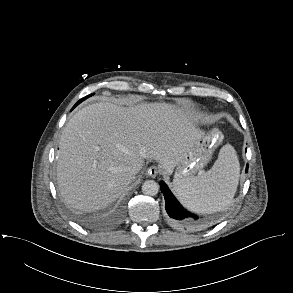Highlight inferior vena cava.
I'll list each match as a JSON object with an SVG mask.
<instances>
[{"label":"inferior vena cava","mask_w":293,"mask_h":293,"mask_svg":"<svg viewBox=\"0 0 293 293\" xmlns=\"http://www.w3.org/2000/svg\"><path fill=\"white\" fill-rule=\"evenodd\" d=\"M142 169V164L141 163H134L131 168L130 171L131 173H133L134 175L137 174L140 170Z\"/></svg>","instance_id":"inferior-vena-cava-1"}]
</instances>
